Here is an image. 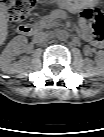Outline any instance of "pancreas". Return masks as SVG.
I'll return each instance as SVG.
<instances>
[{
  "instance_id": "1",
  "label": "pancreas",
  "mask_w": 104,
  "mask_h": 137,
  "mask_svg": "<svg viewBox=\"0 0 104 137\" xmlns=\"http://www.w3.org/2000/svg\"><path fill=\"white\" fill-rule=\"evenodd\" d=\"M38 25L39 26H44V25H47V23H46L45 20H41Z\"/></svg>"
}]
</instances>
